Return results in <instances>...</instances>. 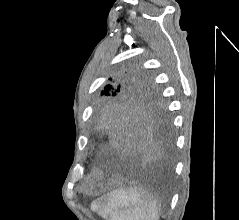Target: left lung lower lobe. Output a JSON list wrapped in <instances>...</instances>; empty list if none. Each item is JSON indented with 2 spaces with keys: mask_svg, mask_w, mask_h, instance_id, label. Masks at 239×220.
<instances>
[{
  "mask_svg": "<svg viewBox=\"0 0 239 220\" xmlns=\"http://www.w3.org/2000/svg\"><path fill=\"white\" fill-rule=\"evenodd\" d=\"M95 125L108 166L169 160L172 139L163 112L115 106L102 111Z\"/></svg>",
  "mask_w": 239,
  "mask_h": 220,
  "instance_id": "obj_1",
  "label": "left lung lower lobe"
}]
</instances>
